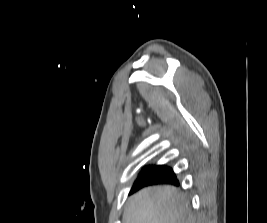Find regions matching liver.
<instances>
[{
    "label": "liver",
    "instance_id": "liver-1",
    "mask_svg": "<svg viewBox=\"0 0 267 223\" xmlns=\"http://www.w3.org/2000/svg\"><path fill=\"white\" fill-rule=\"evenodd\" d=\"M124 223H195L189 202L175 187L145 188L134 194Z\"/></svg>",
    "mask_w": 267,
    "mask_h": 223
}]
</instances>
